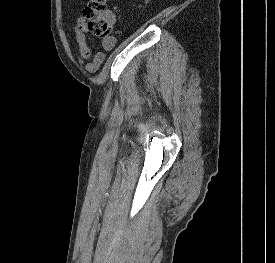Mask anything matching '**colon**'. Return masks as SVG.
Masks as SVG:
<instances>
[{
    "mask_svg": "<svg viewBox=\"0 0 275 263\" xmlns=\"http://www.w3.org/2000/svg\"><path fill=\"white\" fill-rule=\"evenodd\" d=\"M109 0H87L84 16L87 19V28L94 35L109 39L112 37L113 25L105 14Z\"/></svg>",
    "mask_w": 275,
    "mask_h": 263,
    "instance_id": "obj_1",
    "label": "colon"
}]
</instances>
